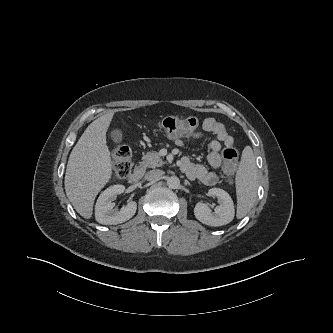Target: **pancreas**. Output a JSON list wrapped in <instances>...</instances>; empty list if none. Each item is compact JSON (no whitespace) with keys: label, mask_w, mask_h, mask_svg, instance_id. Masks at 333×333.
<instances>
[{"label":"pancreas","mask_w":333,"mask_h":333,"mask_svg":"<svg viewBox=\"0 0 333 333\" xmlns=\"http://www.w3.org/2000/svg\"><path fill=\"white\" fill-rule=\"evenodd\" d=\"M164 164V161L162 160L161 156L157 152H147L143 157L142 161L140 162V165L143 168H155L160 167Z\"/></svg>","instance_id":"cf45deb5"}]
</instances>
